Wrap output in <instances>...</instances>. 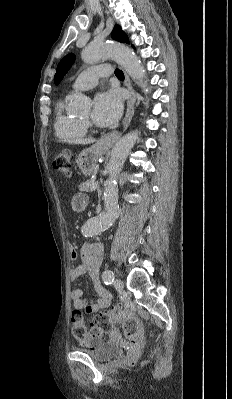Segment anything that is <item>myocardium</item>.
Listing matches in <instances>:
<instances>
[{"mask_svg":"<svg viewBox=\"0 0 232 399\" xmlns=\"http://www.w3.org/2000/svg\"><path fill=\"white\" fill-rule=\"evenodd\" d=\"M81 121L86 129L90 130L93 133L97 132L96 126L89 119L81 118Z\"/></svg>","mask_w":232,"mask_h":399,"instance_id":"1","label":"myocardium"}]
</instances>
